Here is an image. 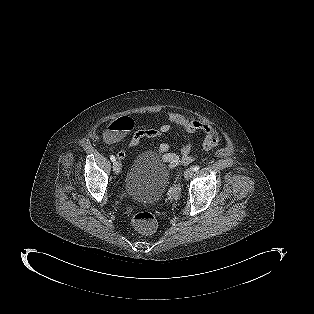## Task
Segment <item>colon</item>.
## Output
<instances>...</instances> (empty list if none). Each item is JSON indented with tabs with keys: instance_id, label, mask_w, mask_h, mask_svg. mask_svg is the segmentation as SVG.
Instances as JSON below:
<instances>
[{
	"instance_id": "5ec220e1",
	"label": "colon",
	"mask_w": 314,
	"mask_h": 314,
	"mask_svg": "<svg viewBox=\"0 0 314 314\" xmlns=\"http://www.w3.org/2000/svg\"><path fill=\"white\" fill-rule=\"evenodd\" d=\"M133 127L130 117L124 116L113 121L105 132V139L117 141ZM132 223L135 229L146 236L152 235L156 229V219L151 212L141 211L132 215Z\"/></svg>"
}]
</instances>
